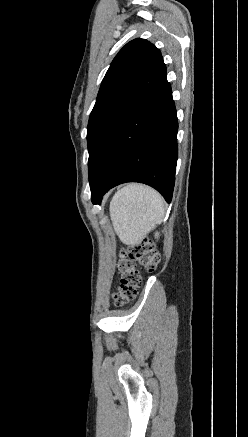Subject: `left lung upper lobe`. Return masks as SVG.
Wrapping results in <instances>:
<instances>
[{
	"label": "left lung upper lobe",
	"instance_id": "obj_1",
	"mask_svg": "<svg viewBox=\"0 0 248 437\" xmlns=\"http://www.w3.org/2000/svg\"><path fill=\"white\" fill-rule=\"evenodd\" d=\"M166 76L160 50L145 39L130 41L116 55L101 83L87 126L90 184L116 132Z\"/></svg>",
	"mask_w": 248,
	"mask_h": 437
}]
</instances>
